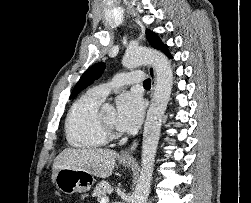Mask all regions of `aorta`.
I'll list each match as a JSON object with an SVG mask.
<instances>
[{
    "label": "aorta",
    "instance_id": "762f6f07",
    "mask_svg": "<svg viewBox=\"0 0 251 203\" xmlns=\"http://www.w3.org/2000/svg\"><path fill=\"white\" fill-rule=\"evenodd\" d=\"M122 63L126 68L151 64L156 72L153 98L144 125L141 171L131 201V203H146L150 191L161 123L172 91L173 72L170 61L162 52L148 48L128 51L123 57Z\"/></svg>",
    "mask_w": 251,
    "mask_h": 203
}]
</instances>
